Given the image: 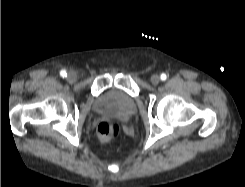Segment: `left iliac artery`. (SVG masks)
Wrapping results in <instances>:
<instances>
[{"label": "left iliac artery", "instance_id": "44dca946", "mask_svg": "<svg viewBox=\"0 0 245 187\" xmlns=\"http://www.w3.org/2000/svg\"><path fill=\"white\" fill-rule=\"evenodd\" d=\"M161 80L164 81L167 79V75L165 73H162L160 76Z\"/></svg>", "mask_w": 245, "mask_h": 187}]
</instances>
